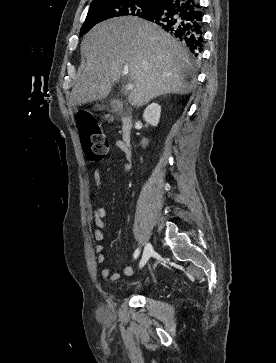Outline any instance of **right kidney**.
<instances>
[{
  "mask_svg": "<svg viewBox=\"0 0 276 363\" xmlns=\"http://www.w3.org/2000/svg\"><path fill=\"white\" fill-rule=\"evenodd\" d=\"M161 106L158 103H151L143 113V119L150 125L156 127L160 120Z\"/></svg>",
  "mask_w": 276,
  "mask_h": 363,
  "instance_id": "ca27d5eb",
  "label": "right kidney"
}]
</instances>
